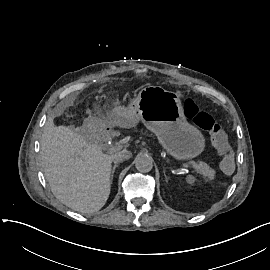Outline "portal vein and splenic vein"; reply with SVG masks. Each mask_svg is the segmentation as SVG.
Instances as JSON below:
<instances>
[{"instance_id":"1","label":"portal vein and splenic vein","mask_w":270,"mask_h":270,"mask_svg":"<svg viewBox=\"0 0 270 270\" xmlns=\"http://www.w3.org/2000/svg\"><path fill=\"white\" fill-rule=\"evenodd\" d=\"M107 154H116L118 152V148L116 147H107L105 149ZM179 165L185 166V168L193 169V166H189L187 163L179 162Z\"/></svg>"}]
</instances>
